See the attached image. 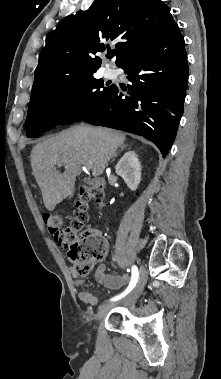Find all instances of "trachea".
<instances>
[{
    "mask_svg": "<svg viewBox=\"0 0 221 379\" xmlns=\"http://www.w3.org/2000/svg\"><path fill=\"white\" fill-rule=\"evenodd\" d=\"M107 57H108L109 59H111V58L113 57V55H112V54H109V55H107Z\"/></svg>",
    "mask_w": 221,
    "mask_h": 379,
    "instance_id": "3493384b",
    "label": "trachea"
}]
</instances>
